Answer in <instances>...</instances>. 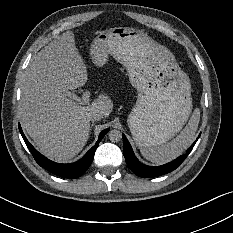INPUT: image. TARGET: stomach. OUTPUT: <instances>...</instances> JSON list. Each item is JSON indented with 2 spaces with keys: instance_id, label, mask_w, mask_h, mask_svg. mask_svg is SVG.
<instances>
[{
  "instance_id": "stomach-1",
  "label": "stomach",
  "mask_w": 233,
  "mask_h": 233,
  "mask_svg": "<svg viewBox=\"0 0 233 233\" xmlns=\"http://www.w3.org/2000/svg\"><path fill=\"white\" fill-rule=\"evenodd\" d=\"M89 53L97 67L112 56L126 68L138 92L127 123L139 148H156L182 130L192 111L191 83L166 47L142 30L114 27L96 35Z\"/></svg>"
}]
</instances>
